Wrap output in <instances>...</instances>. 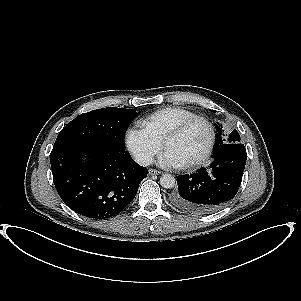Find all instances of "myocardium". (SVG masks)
<instances>
[{
    "instance_id": "f54148a6",
    "label": "myocardium",
    "mask_w": 301,
    "mask_h": 301,
    "mask_svg": "<svg viewBox=\"0 0 301 301\" xmlns=\"http://www.w3.org/2000/svg\"><path fill=\"white\" fill-rule=\"evenodd\" d=\"M195 122H202L206 125V127L208 129V133H209V139H208V143H207V146H206L204 152L196 159L188 162L186 164L187 168H193V167L199 166V165L205 163L208 160V158L210 157L213 147H214V143H215V130H214V126H213L212 122L205 117L194 116V117L184 120L181 123H179L178 125H176L165 135V137L163 139V148L166 149L168 142L172 138L180 135L187 127H189L191 124H193Z\"/></svg>"
}]
</instances>
